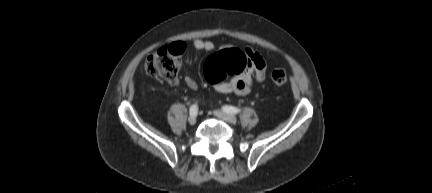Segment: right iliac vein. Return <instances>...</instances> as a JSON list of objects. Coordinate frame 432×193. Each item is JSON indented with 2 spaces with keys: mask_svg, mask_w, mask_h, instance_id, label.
Masks as SVG:
<instances>
[{
  "mask_svg": "<svg viewBox=\"0 0 432 193\" xmlns=\"http://www.w3.org/2000/svg\"><path fill=\"white\" fill-rule=\"evenodd\" d=\"M188 122L191 125H194L197 122V116L196 115H190L189 118H188Z\"/></svg>",
  "mask_w": 432,
  "mask_h": 193,
  "instance_id": "obj_1",
  "label": "right iliac vein"
}]
</instances>
